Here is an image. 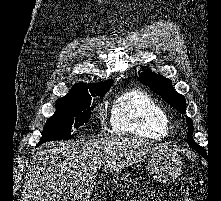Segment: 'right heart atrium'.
<instances>
[{
    "label": "right heart atrium",
    "mask_w": 221,
    "mask_h": 201,
    "mask_svg": "<svg viewBox=\"0 0 221 201\" xmlns=\"http://www.w3.org/2000/svg\"><path fill=\"white\" fill-rule=\"evenodd\" d=\"M101 118H102V121L104 122V117H103V116H101Z\"/></svg>",
    "instance_id": "obj_1"
}]
</instances>
